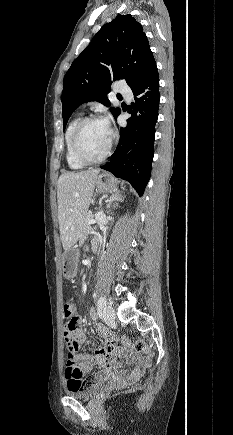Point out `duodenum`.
I'll return each mask as SVG.
<instances>
[{"label": "duodenum", "instance_id": "duodenum-1", "mask_svg": "<svg viewBox=\"0 0 233 435\" xmlns=\"http://www.w3.org/2000/svg\"><path fill=\"white\" fill-rule=\"evenodd\" d=\"M97 249V246H96V244L94 245V250H96Z\"/></svg>", "mask_w": 233, "mask_h": 435}]
</instances>
